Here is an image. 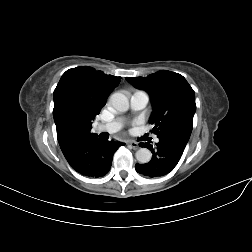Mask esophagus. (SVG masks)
Here are the masks:
<instances>
[{
	"mask_svg": "<svg viewBox=\"0 0 252 252\" xmlns=\"http://www.w3.org/2000/svg\"><path fill=\"white\" fill-rule=\"evenodd\" d=\"M128 144L133 148V149H138V143L135 141H130Z\"/></svg>",
	"mask_w": 252,
	"mask_h": 252,
	"instance_id": "34e87169",
	"label": "esophagus"
}]
</instances>
